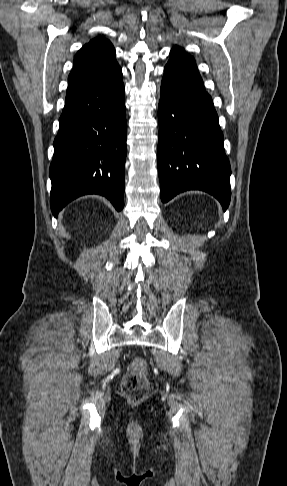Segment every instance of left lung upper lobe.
<instances>
[{
    "label": "left lung upper lobe",
    "mask_w": 287,
    "mask_h": 486,
    "mask_svg": "<svg viewBox=\"0 0 287 486\" xmlns=\"http://www.w3.org/2000/svg\"><path fill=\"white\" fill-rule=\"evenodd\" d=\"M170 57L177 59L188 67L198 72L194 57L185 52V50L179 46H174L171 50Z\"/></svg>",
    "instance_id": "left-lung-upper-lobe-1"
}]
</instances>
